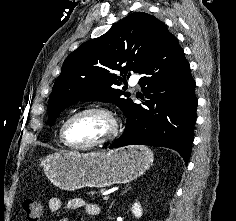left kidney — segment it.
<instances>
[{
  "mask_svg": "<svg viewBox=\"0 0 236 221\" xmlns=\"http://www.w3.org/2000/svg\"><path fill=\"white\" fill-rule=\"evenodd\" d=\"M132 213L136 218H140L143 214L142 207L139 202H135L132 206Z\"/></svg>",
  "mask_w": 236,
  "mask_h": 221,
  "instance_id": "5707ae66",
  "label": "left kidney"
}]
</instances>
